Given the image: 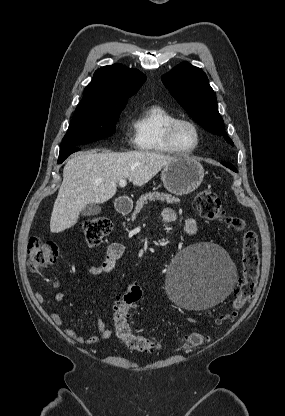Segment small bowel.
<instances>
[{
  "label": "small bowel",
  "instance_id": "c3829d8e",
  "mask_svg": "<svg viewBox=\"0 0 285 416\" xmlns=\"http://www.w3.org/2000/svg\"><path fill=\"white\" fill-rule=\"evenodd\" d=\"M161 218L166 223H172L176 220V213L173 209L166 208L162 211ZM197 230H198V226H197L196 221L192 218L186 219L185 225H184V231L187 234L192 235V234H195ZM123 252H124V246L121 243L113 242L109 244V246L106 249L103 261L98 265L89 267L88 273L92 276H99L103 273L111 272L115 268L116 263L118 259L122 256ZM64 297H65L64 291H58L54 295V299L57 302L62 301ZM36 298L38 302L40 303L45 302V298L43 294L41 293H37ZM50 318L57 326H61L63 324L62 317L56 311L50 312ZM97 327L99 330V335H92L89 337H85L70 328H65L64 333L66 334V336L73 339L74 341L80 344H86V345H93V344L98 343L100 339L108 340L112 337L113 331L110 328H107L103 320L101 319L98 320Z\"/></svg>",
  "mask_w": 285,
  "mask_h": 416
}]
</instances>
